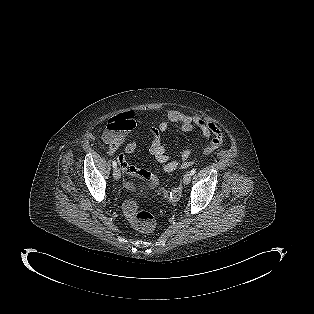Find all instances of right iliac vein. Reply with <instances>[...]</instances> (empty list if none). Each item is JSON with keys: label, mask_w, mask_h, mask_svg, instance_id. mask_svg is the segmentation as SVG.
I'll return each mask as SVG.
<instances>
[{"label": "right iliac vein", "mask_w": 314, "mask_h": 314, "mask_svg": "<svg viewBox=\"0 0 314 314\" xmlns=\"http://www.w3.org/2000/svg\"><path fill=\"white\" fill-rule=\"evenodd\" d=\"M113 177L115 180H119L121 177V172L119 168H115L113 171Z\"/></svg>", "instance_id": "obj_1"}]
</instances>
